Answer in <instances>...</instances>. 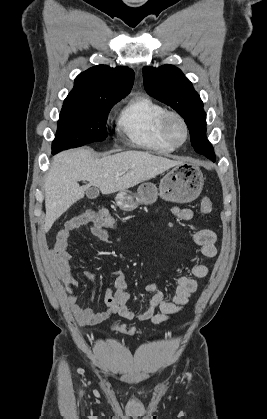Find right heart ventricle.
I'll return each mask as SVG.
<instances>
[{"instance_id":"obj_1","label":"right heart ventricle","mask_w":267,"mask_h":419,"mask_svg":"<svg viewBox=\"0 0 267 419\" xmlns=\"http://www.w3.org/2000/svg\"><path fill=\"white\" fill-rule=\"evenodd\" d=\"M166 108L147 95L134 96L127 101L117 117L118 131L134 145L153 152L168 154L175 148L160 132V122Z\"/></svg>"}]
</instances>
